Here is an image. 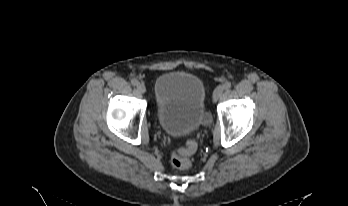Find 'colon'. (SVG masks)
Masks as SVG:
<instances>
[{
	"label": "colon",
	"instance_id": "1",
	"mask_svg": "<svg viewBox=\"0 0 348 206\" xmlns=\"http://www.w3.org/2000/svg\"><path fill=\"white\" fill-rule=\"evenodd\" d=\"M196 147L197 145L194 141H187L182 148L172 154L170 159L171 165L179 170L189 168L191 165L189 157L195 152Z\"/></svg>",
	"mask_w": 348,
	"mask_h": 206
}]
</instances>
